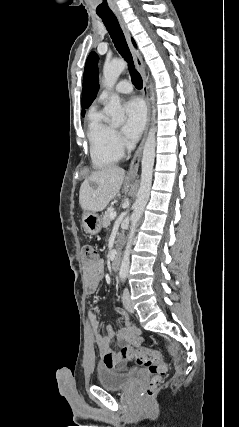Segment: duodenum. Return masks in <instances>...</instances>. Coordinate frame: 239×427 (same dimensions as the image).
Here are the masks:
<instances>
[{"label": "duodenum", "mask_w": 239, "mask_h": 427, "mask_svg": "<svg viewBox=\"0 0 239 427\" xmlns=\"http://www.w3.org/2000/svg\"><path fill=\"white\" fill-rule=\"evenodd\" d=\"M111 267L112 270L114 272H118L119 268H120V255L118 253H115L113 258H112V262H111Z\"/></svg>", "instance_id": "duodenum-1"}]
</instances>
